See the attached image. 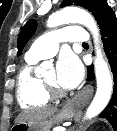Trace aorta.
Returning a JSON list of instances; mask_svg holds the SVG:
<instances>
[{"label": "aorta", "instance_id": "762f6f07", "mask_svg": "<svg viewBox=\"0 0 117 131\" xmlns=\"http://www.w3.org/2000/svg\"><path fill=\"white\" fill-rule=\"evenodd\" d=\"M66 23H79L89 29L94 38L96 57L94 61L97 91L94 99L87 108L85 119L97 116L108 105L111 95L113 80L107 62L104 60L100 47L99 29L90 13L77 7H67L49 17L48 27H56ZM47 63H42L40 68H46Z\"/></svg>", "mask_w": 117, "mask_h": 131}]
</instances>
